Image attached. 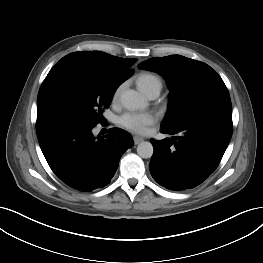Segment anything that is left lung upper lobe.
Wrapping results in <instances>:
<instances>
[{
    "mask_svg": "<svg viewBox=\"0 0 263 263\" xmlns=\"http://www.w3.org/2000/svg\"><path fill=\"white\" fill-rule=\"evenodd\" d=\"M139 68L157 72L167 81L169 108L161 126L174 128L212 116L232 121L229 92L207 64L171 55L150 58Z\"/></svg>",
    "mask_w": 263,
    "mask_h": 263,
    "instance_id": "5c2ea615",
    "label": "left lung upper lobe"
}]
</instances>
